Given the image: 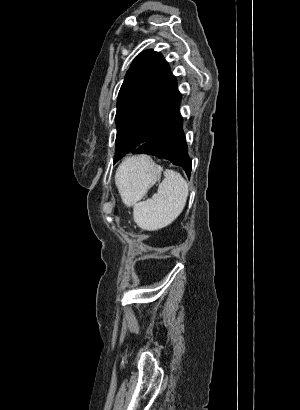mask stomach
I'll use <instances>...</instances> for the list:
<instances>
[{
  "label": "stomach",
  "instance_id": "1",
  "mask_svg": "<svg viewBox=\"0 0 300 410\" xmlns=\"http://www.w3.org/2000/svg\"><path fill=\"white\" fill-rule=\"evenodd\" d=\"M137 168L129 176V186L123 201L131 205L140 200L161 177V167L149 157H137Z\"/></svg>",
  "mask_w": 300,
  "mask_h": 410
}]
</instances>
